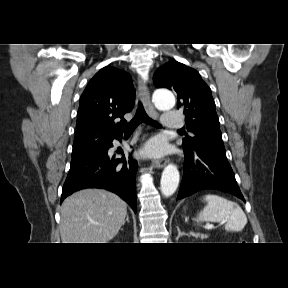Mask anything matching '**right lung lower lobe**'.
I'll list each match as a JSON object with an SVG mask.
<instances>
[{"label": "right lung lower lobe", "mask_w": 288, "mask_h": 288, "mask_svg": "<svg viewBox=\"0 0 288 288\" xmlns=\"http://www.w3.org/2000/svg\"><path fill=\"white\" fill-rule=\"evenodd\" d=\"M121 136V135H120ZM113 139H120L119 136ZM112 139V140H113ZM112 140L102 147L71 161L70 170L63 185L61 202L75 191L85 188H104L122 197L136 212L135 175L137 162L131 157L114 159L108 156Z\"/></svg>", "instance_id": "98d812e1"}]
</instances>
